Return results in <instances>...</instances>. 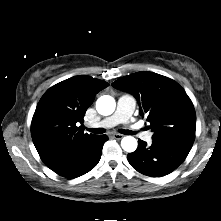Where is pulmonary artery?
<instances>
[{
	"mask_svg": "<svg viewBox=\"0 0 221 221\" xmlns=\"http://www.w3.org/2000/svg\"><path fill=\"white\" fill-rule=\"evenodd\" d=\"M134 108H135L134 98L129 95H123L118 99L115 112L111 116H108L105 119H103L101 122H99L97 126L104 128H111L121 123H127L134 111ZM138 134L143 140L147 142L151 141L150 132H139Z\"/></svg>",
	"mask_w": 221,
	"mask_h": 221,
	"instance_id": "pulmonary-artery-1",
	"label": "pulmonary artery"
}]
</instances>
